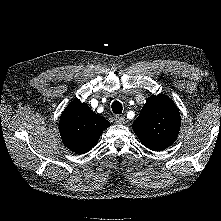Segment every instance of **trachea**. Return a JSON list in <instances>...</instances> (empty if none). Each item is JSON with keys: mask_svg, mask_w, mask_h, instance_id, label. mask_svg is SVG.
Instances as JSON below:
<instances>
[{"mask_svg": "<svg viewBox=\"0 0 221 221\" xmlns=\"http://www.w3.org/2000/svg\"><path fill=\"white\" fill-rule=\"evenodd\" d=\"M111 108L115 114H121L123 110L122 104L119 101H114L111 105Z\"/></svg>", "mask_w": 221, "mask_h": 221, "instance_id": "3493384b", "label": "trachea"}]
</instances>
